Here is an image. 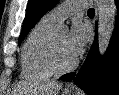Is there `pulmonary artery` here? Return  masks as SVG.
Returning a JSON list of instances; mask_svg holds the SVG:
<instances>
[{"label": "pulmonary artery", "instance_id": "e3ab8cb5", "mask_svg": "<svg viewBox=\"0 0 119 95\" xmlns=\"http://www.w3.org/2000/svg\"><path fill=\"white\" fill-rule=\"evenodd\" d=\"M87 6V3L83 0H69L60 4L56 8L52 9L50 12L46 14V17L55 22L60 23L65 18L70 15H73L79 11H82Z\"/></svg>", "mask_w": 119, "mask_h": 95}]
</instances>
